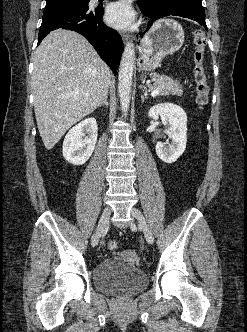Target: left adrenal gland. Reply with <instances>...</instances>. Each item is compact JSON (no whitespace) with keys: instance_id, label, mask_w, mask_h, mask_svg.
<instances>
[{"instance_id":"1","label":"left adrenal gland","mask_w":247,"mask_h":332,"mask_svg":"<svg viewBox=\"0 0 247 332\" xmlns=\"http://www.w3.org/2000/svg\"><path fill=\"white\" fill-rule=\"evenodd\" d=\"M145 99H147V93H144V95H141V102L144 103Z\"/></svg>"}]
</instances>
